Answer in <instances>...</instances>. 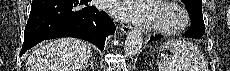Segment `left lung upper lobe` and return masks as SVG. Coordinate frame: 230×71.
Masks as SVG:
<instances>
[{
    "mask_svg": "<svg viewBox=\"0 0 230 71\" xmlns=\"http://www.w3.org/2000/svg\"><path fill=\"white\" fill-rule=\"evenodd\" d=\"M188 11L196 10L202 12V0H182Z\"/></svg>",
    "mask_w": 230,
    "mask_h": 71,
    "instance_id": "1",
    "label": "left lung upper lobe"
}]
</instances>
